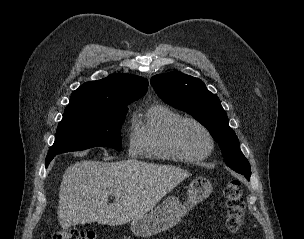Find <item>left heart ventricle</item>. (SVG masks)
Wrapping results in <instances>:
<instances>
[{"instance_id": "1", "label": "left heart ventricle", "mask_w": 304, "mask_h": 239, "mask_svg": "<svg viewBox=\"0 0 304 239\" xmlns=\"http://www.w3.org/2000/svg\"><path fill=\"white\" fill-rule=\"evenodd\" d=\"M179 140L188 152L194 154L205 152L209 146L205 133L192 123H186L180 128Z\"/></svg>"}]
</instances>
